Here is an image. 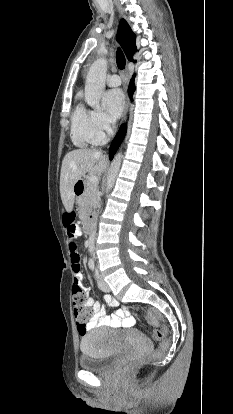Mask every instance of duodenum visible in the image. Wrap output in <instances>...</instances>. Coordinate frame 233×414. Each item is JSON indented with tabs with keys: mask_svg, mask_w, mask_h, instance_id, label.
Segmentation results:
<instances>
[{
	"mask_svg": "<svg viewBox=\"0 0 233 414\" xmlns=\"http://www.w3.org/2000/svg\"><path fill=\"white\" fill-rule=\"evenodd\" d=\"M83 191H84V182L81 180L76 181L73 186L74 195L75 196L81 195ZM93 219H94V216L90 215L84 220L83 229L85 232L89 233L93 230Z\"/></svg>",
	"mask_w": 233,
	"mask_h": 414,
	"instance_id": "obj_1",
	"label": "duodenum"
}]
</instances>
